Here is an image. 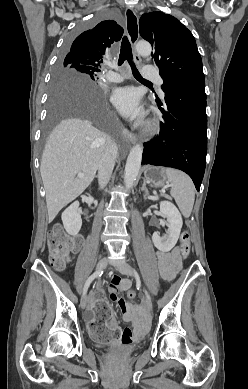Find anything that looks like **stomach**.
Wrapping results in <instances>:
<instances>
[{
  "label": "stomach",
  "instance_id": "stomach-1",
  "mask_svg": "<svg viewBox=\"0 0 248 389\" xmlns=\"http://www.w3.org/2000/svg\"><path fill=\"white\" fill-rule=\"evenodd\" d=\"M165 170L163 167L148 166L144 170V178L155 188L165 187L168 184Z\"/></svg>",
  "mask_w": 248,
  "mask_h": 389
}]
</instances>
